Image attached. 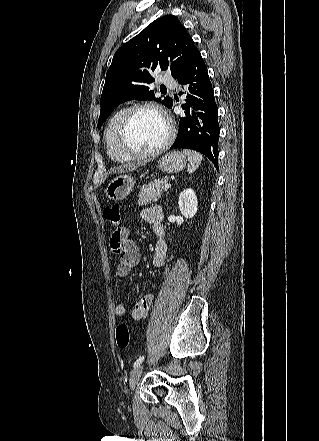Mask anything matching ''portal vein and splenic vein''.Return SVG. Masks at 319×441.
<instances>
[{
  "instance_id": "1",
  "label": "portal vein and splenic vein",
  "mask_w": 319,
  "mask_h": 441,
  "mask_svg": "<svg viewBox=\"0 0 319 441\" xmlns=\"http://www.w3.org/2000/svg\"><path fill=\"white\" fill-rule=\"evenodd\" d=\"M164 188H165V190L171 188V184H166Z\"/></svg>"
}]
</instances>
